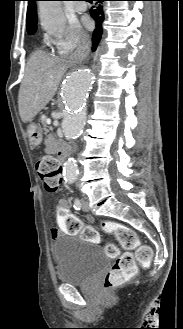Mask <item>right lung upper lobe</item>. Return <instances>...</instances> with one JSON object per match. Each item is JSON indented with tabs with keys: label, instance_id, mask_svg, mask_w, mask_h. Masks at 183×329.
Returning a JSON list of instances; mask_svg holds the SVG:
<instances>
[{
	"label": "right lung upper lobe",
	"instance_id": "1",
	"mask_svg": "<svg viewBox=\"0 0 183 329\" xmlns=\"http://www.w3.org/2000/svg\"><path fill=\"white\" fill-rule=\"evenodd\" d=\"M35 1L37 0H28V9H27V31L28 33L36 30L37 16H36V5Z\"/></svg>",
	"mask_w": 183,
	"mask_h": 329
}]
</instances>
